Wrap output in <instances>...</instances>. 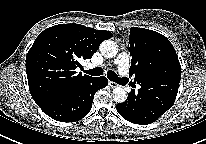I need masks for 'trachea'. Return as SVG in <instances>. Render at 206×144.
Returning a JSON list of instances; mask_svg holds the SVG:
<instances>
[{
	"instance_id": "trachea-1",
	"label": "trachea",
	"mask_w": 206,
	"mask_h": 144,
	"mask_svg": "<svg viewBox=\"0 0 206 144\" xmlns=\"http://www.w3.org/2000/svg\"><path fill=\"white\" fill-rule=\"evenodd\" d=\"M85 73H87L91 76H100L103 74V70L101 68L97 67V68L86 70ZM107 77L110 81H114V82H118V83L122 81V79L118 78L117 74L113 71H108Z\"/></svg>"
}]
</instances>
